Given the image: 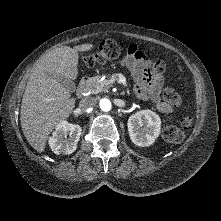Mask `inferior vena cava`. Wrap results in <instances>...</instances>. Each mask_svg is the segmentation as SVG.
<instances>
[{
  "label": "inferior vena cava",
  "mask_w": 221,
  "mask_h": 221,
  "mask_svg": "<svg viewBox=\"0 0 221 221\" xmlns=\"http://www.w3.org/2000/svg\"><path fill=\"white\" fill-rule=\"evenodd\" d=\"M97 104V100L94 97H86L79 103V107L83 110L94 107Z\"/></svg>",
  "instance_id": "obj_1"
}]
</instances>
